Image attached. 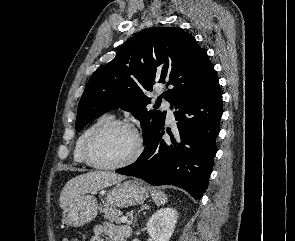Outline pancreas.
Masks as SVG:
<instances>
[{"instance_id":"1","label":"pancreas","mask_w":295,"mask_h":241,"mask_svg":"<svg viewBox=\"0 0 295 241\" xmlns=\"http://www.w3.org/2000/svg\"><path fill=\"white\" fill-rule=\"evenodd\" d=\"M103 213H104V218L111 221V222H114L116 224H120L121 223V217L123 215V213L118 210V209H115V208H104L103 209Z\"/></svg>"}]
</instances>
